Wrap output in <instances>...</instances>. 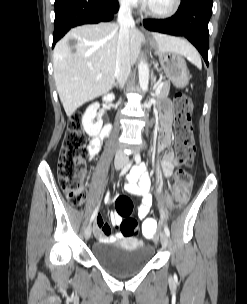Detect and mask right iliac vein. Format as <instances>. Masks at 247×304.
<instances>
[{"mask_svg":"<svg viewBox=\"0 0 247 304\" xmlns=\"http://www.w3.org/2000/svg\"><path fill=\"white\" fill-rule=\"evenodd\" d=\"M116 168H117V169H121V168H122V165H121V164H118V165L116 166ZM84 235H85L86 240H89V239H90V237H91V226H90V225H88V226L86 227L85 232H84Z\"/></svg>","mask_w":247,"mask_h":304,"instance_id":"right-iliac-vein-1","label":"right iliac vein"}]
</instances>
